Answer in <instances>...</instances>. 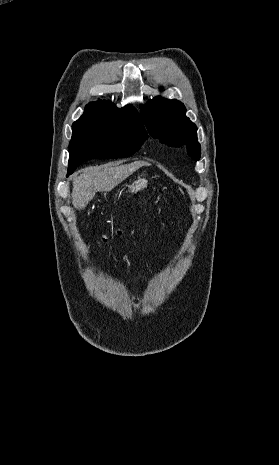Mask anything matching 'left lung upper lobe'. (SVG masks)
I'll use <instances>...</instances> for the list:
<instances>
[{"label": "left lung upper lobe", "mask_w": 279, "mask_h": 465, "mask_svg": "<svg viewBox=\"0 0 279 465\" xmlns=\"http://www.w3.org/2000/svg\"><path fill=\"white\" fill-rule=\"evenodd\" d=\"M185 112L181 102L161 97L141 106V115L150 135L169 146L186 145L188 154L199 160L201 147L197 140V127L185 116Z\"/></svg>", "instance_id": "1"}]
</instances>
